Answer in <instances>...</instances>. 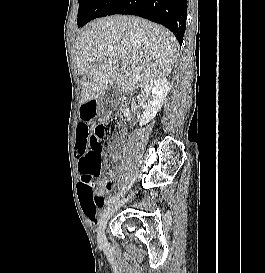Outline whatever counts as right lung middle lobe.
I'll use <instances>...</instances> for the list:
<instances>
[{"label":"right lung middle lobe","mask_w":265,"mask_h":273,"mask_svg":"<svg viewBox=\"0 0 265 273\" xmlns=\"http://www.w3.org/2000/svg\"><path fill=\"white\" fill-rule=\"evenodd\" d=\"M78 27H82L89 21L108 14L117 0H78Z\"/></svg>","instance_id":"1"}]
</instances>
